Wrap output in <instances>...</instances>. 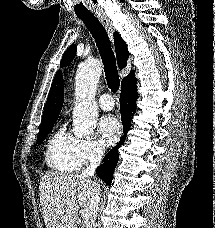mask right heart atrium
Returning a JSON list of instances; mask_svg holds the SVG:
<instances>
[{"label":"right heart atrium","mask_w":215,"mask_h":228,"mask_svg":"<svg viewBox=\"0 0 215 228\" xmlns=\"http://www.w3.org/2000/svg\"><path fill=\"white\" fill-rule=\"evenodd\" d=\"M105 154L104 145L94 139H80L79 156L81 163L90 164L100 161Z\"/></svg>","instance_id":"obj_1"}]
</instances>
